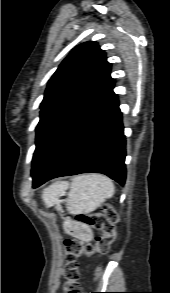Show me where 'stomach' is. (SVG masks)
Here are the masks:
<instances>
[{
	"label": "stomach",
	"mask_w": 170,
	"mask_h": 293,
	"mask_svg": "<svg viewBox=\"0 0 170 293\" xmlns=\"http://www.w3.org/2000/svg\"><path fill=\"white\" fill-rule=\"evenodd\" d=\"M53 204H56V208L57 209H60V205H59V202L54 199L52 201ZM67 231L69 233H71L72 235L80 238V239H83V240H87L90 238L91 236V231L89 228L87 227H82V226H77L76 224H72L70 227H67Z\"/></svg>",
	"instance_id": "obj_1"
}]
</instances>
